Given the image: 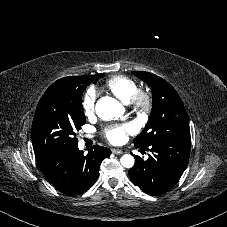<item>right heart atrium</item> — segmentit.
Instances as JSON below:
<instances>
[{"mask_svg": "<svg viewBox=\"0 0 227 227\" xmlns=\"http://www.w3.org/2000/svg\"><path fill=\"white\" fill-rule=\"evenodd\" d=\"M97 93L95 89H89L82 99V109L86 116H92L95 113Z\"/></svg>", "mask_w": 227, "mask_h": 227, "instance_id": "1", "label": "right heart atrium"}]
</instances>
